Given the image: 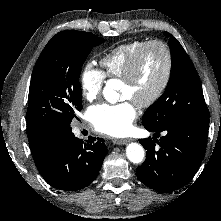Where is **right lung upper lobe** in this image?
<instances>
[{
    "label": "right lung upper lobe",
    "instance_id": "1",
    "mask_svg": "<svg viewBox=\"0 0 221 221\" xmlns=\"http://www.w3.org/2000/svg\"><path fill=\"white\" fill-rule=\"evenodd\" d=\"M45 142H46V141L41 142V143L36 144V145L30 146V149H31L32 153H36V152L41 148V146H42Z\"/></svg>",
    "mask_w": 221,
    "mask_h": 221
}]
</instances>
